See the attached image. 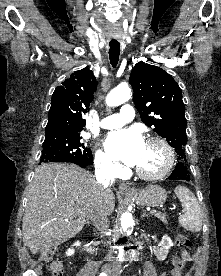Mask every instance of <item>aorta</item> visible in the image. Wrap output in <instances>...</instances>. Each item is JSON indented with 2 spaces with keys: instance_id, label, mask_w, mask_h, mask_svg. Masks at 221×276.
I'll return each mask as SVG.
<instances>
[{
  "instance_id": "762f6f07",
  "label": "aorta",
  "mask_w": 221,
  "mask_h": 276,
  "mask_svg": "<svg viewBox=\"0 0 221 276\" xmlns=\"http://www.w3.org/2000/svg\"><path fill=\"white\" fill-rule=\"evenodd\" d=\"M131 98V89L128 86H118L113 89L106 97V104L114 107L121 105ZM134 221L132 214L125 212L121 216V227L125 231L133 227Z\"/></svg>"
}]
</instances>
